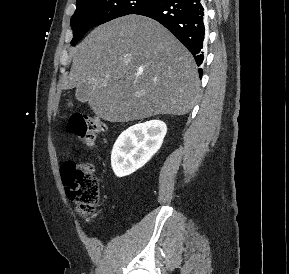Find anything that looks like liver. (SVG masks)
<instances>
[{
    "label": "liver",
    "mask_w": 289,
    "mask_h": 274,
    "mask_svg": "<svg viewBox=\"0 0 289 274\" xmlns=\"http://www.w3.org/2000/svg\"><path fill=\"white\" fill-rule=\"evenodd\" d=\"M88 84V104L108 122L185 115L199 98L191 53L158 22L127 15L95 28L72 49L64 89Z\"/></svg>",
    "instance_id": "1"
}]
</instances>
